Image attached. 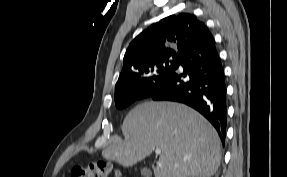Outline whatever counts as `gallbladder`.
I'll use <instances>...</instances> for the list:
<instances>
[{
  "label": "gallbladder",
  "instance_id": "gallbladder-1",
  "mask_svg": "<svg viewBox=\"0 0 287 177\" xmlns=\"http://www.w3.org/2000/svg\"><path fill=\"white\" fill-rule=\"evenodd\" d=\"M141 173H142V174H148V173H149V170L146 169V168H143V169H141Z\"/></svg>",
  "mask_w": 287,
  "mask_h": 177
}]
</instances>
